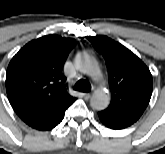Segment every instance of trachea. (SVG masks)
Segmentation results:
<instances>
[{"instance_id":"obj_1","label":"trachea","mask_w":165,"mask_h":154,"mask_svg":"<svg viewBox=\"0 0 165 154\" xmlns=\"http://www.w3.org/2000/svg\"><path fill=\"white\" fill-rule=\"evenodd\" d=\"M74 90L81 91V92H89L90 86L86 80L80 79L74 85Z\"/></svg>"}]
</instances>
